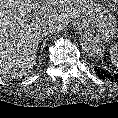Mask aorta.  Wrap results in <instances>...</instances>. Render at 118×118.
I'll list each match as a JSON object with an SVG mask.
<instances>
[{
    "mask_svg": "<svg viewBox=\"0 0 118 118\" xmlns=\"http://www.w3.org/2000/svg\"><path fill=\"white\" fill-rule=\"evenodd\" d=\"M81 46L84 52L93 58L101 57L104 51L102 43L91 34L82 37Z\"/></svg>",
    "mask_w": 118,
    "mask_h": 118,
    "instance_id": "obj_1",
    "label": "aorta"
}]
</instances>
